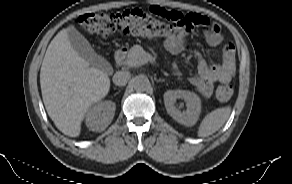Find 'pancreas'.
<instances>
[{
  "label": "pancreas",
  "instance_id": "pancreas-1",
  "mask_svg": "<svg viewBox=\"0 0 292 184\" xmlns=\"http://www.w3.org/2000/svg\"><path fill=\"white\" fill-rule=\"evenodd\" d=\"M145 54V50L140 45H134L125 56L123 64L127 67H138Z\"/></svg>",
  "mask_w": 292,
  "mask_h": 184
}]
</instances>
